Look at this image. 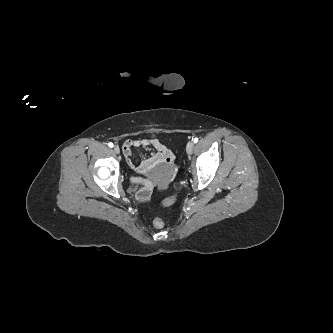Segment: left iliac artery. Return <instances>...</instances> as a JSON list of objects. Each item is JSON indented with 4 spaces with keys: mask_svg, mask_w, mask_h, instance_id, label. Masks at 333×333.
<instances>
[{
    "mask_svg": "<svg viewBox=\"0 0 333 333\" xmlns=\"http://www.w3.org/2000/svg\"><path fill=\"white\" fill-rule=\"evenodd\" d=\"M193 142H194V143H197V142H198V138H197V137L194 138V139H193Z\"/></svg>",
    "mask_w": 333,
    "mask_h": 333,
    "instance_id": "left-iliac-artery-1",
    "label": "left iliac artery"
}]
</instances>
